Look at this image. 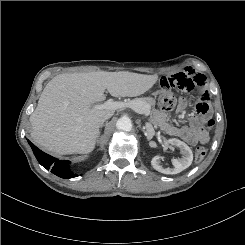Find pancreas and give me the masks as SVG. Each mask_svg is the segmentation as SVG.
Returning <instances> with one entry per match:
<instances>
[{
    "instance_id": "obj_1",
    "label": "pancreas",
    "mask_w": 245,
    "mask_h": 245,
    "mask_svg": "<svg viewBox=\"0 0 245 245\" xmlns=\"http://www.w3.org/2000/svg\"><path fill=\"white\" fill-rule=\"evenodd\" d=\"M133 102L138 106V110H141L142 108L149 106L150 108L155 105V100L151 97L147 98H135L134 100L128 101ZM135 111V110H134Z\"/></svg>"
}]
</instances>
